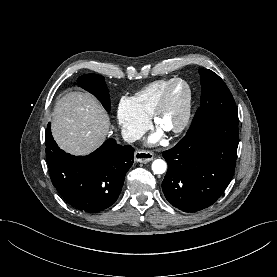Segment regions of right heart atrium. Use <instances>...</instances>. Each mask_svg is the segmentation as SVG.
I'll return each mask as SVG.
<instances>
[{"label":"right heart atrium","instance_id":"1","mask_svg":"<svg viewBox=\"0 0 277 277\" xmlns=\"http://www.w3.org/2000/svg\"><path fill=\"white\" fill-rule=\"evenodd\" d=\"M117 120L126 140H133L147 128L148 118L140 114L131 98L123 97L118 104Z\"/></svg>","mask_w":277,"mask_h":277}]
</instances>
